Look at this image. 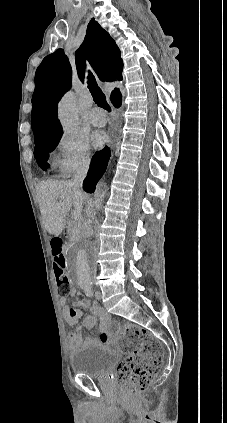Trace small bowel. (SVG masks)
<instances>
[{
    "label": "small bowel",
    "mask_w": 227,
    "mask_h": 423,
    "mask_svg": "<svg viewBox=\"0 0 227 423\" xmlns=\"http://www.w3.org/2000/svg\"><path fill=\"white\" fill-rule=\"evenodd\" d=\"M70 294H74V289L71 288ZM60 303L63 306V317L66 323L70 326H75L82 318V327L77 326L74 331L69 332V343L71 350H75L82 340V328L87 330L93 329L97 324L101 331L99 341L93 338H87L86 343L92 344L96 342L107 343L109 335L107 334L108 323L110 317L108 313L99 304H91L88 300L82 299L77 301L73 307L67 306L66 298L61 297ZM86 308L89 310L88 314L83 316V312L78 308Z\"/></svg>",
    "instance_id": "obj_1"
}]
</instances>
